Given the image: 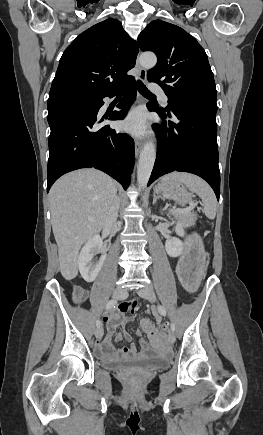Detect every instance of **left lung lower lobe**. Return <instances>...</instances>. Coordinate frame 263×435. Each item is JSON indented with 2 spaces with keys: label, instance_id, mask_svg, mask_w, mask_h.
<instances>
[{
  "label": "left lung lower lobe",
  "instance_id": "left-lung-lower-lobe-1",
  "mask_svg": "<svg viewBox=\"0 0 263 435\" xmlns=\"http://www.w3.org/2000/svg\"><path fill=\"white\" fill-rule=\"evenodd\" d=\"M162 119L154 124L163 145L158 150L148 186L160 176L173 171L196 174L213 188L217 199L220 196V171L218 166L216 113L188 108H172L173 120L156 106ZM169 113V112H168Z\"/></svg>",
  "mask_w": 263,
  "mask_h": 435
}]
</instances>
